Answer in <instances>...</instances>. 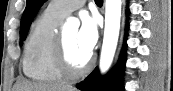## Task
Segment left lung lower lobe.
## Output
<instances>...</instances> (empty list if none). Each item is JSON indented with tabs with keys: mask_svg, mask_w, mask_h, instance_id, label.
I'll use <instances>...</instances> for the list:
<instances>
[{
	"mask_svg": "<svg viewBox=\"0 0 173 91\" xmlns=\"http://www.w3.org/2000/svg\"><path fill=\"white\" fill-rule=\"evenodd\" d=\"M124 54L121 56L116 70L111 76L100 77L98 68L85 78L77 87L84 91H121V76L123 75Z\"/></svg>",
	"mask_w": 173,
	"mask_h": 91,
	"instance_id": "1",
	"label": "left lung lower lobe"
}]
</instances>
